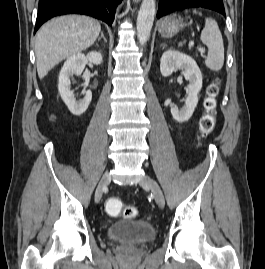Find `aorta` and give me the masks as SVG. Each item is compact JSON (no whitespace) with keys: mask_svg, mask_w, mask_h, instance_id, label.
I'll list each match as a JSON object with an SVG mask.
<instances>
[{"mask_svg":"<svg viewBox=\"0 0 265 269\" xmlns=\"http://www.w3.org/2000/svg\"><path fill=\"white\" fill-rule=\"evenodd\" d=\"M155 12V0L142 1L137 17V38L141 46H144L150 37Z\"/></svg>","mask_w":265,"mask_h":269,"instance_id":"aorta-1","label":"aorta"}]
</instances>
